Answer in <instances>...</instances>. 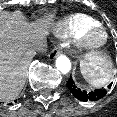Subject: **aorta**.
I'll return each instance as SVG.
<instances>
[{"label": "aorta", "instance_id": "aorta-1", "mask_svg": "<svg viewBox=\"0 0 117 117\" xmlns=\"http://www.w3.org/2000/svg\"><path fill=\"white\" fill-rule=\"evenodd\" d=\"M55 64L56 68L63 74L68 73L71 69V62L69 58L64 55L57 57Z\"/></svg>", "mask_w": 117, "mask_h": 117}]
</instances>
